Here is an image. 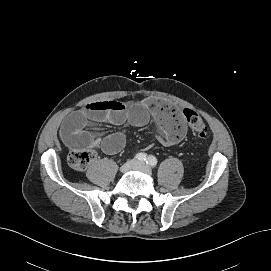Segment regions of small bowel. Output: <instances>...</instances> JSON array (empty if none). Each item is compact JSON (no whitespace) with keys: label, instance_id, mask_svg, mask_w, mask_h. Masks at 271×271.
<instances>
[{"label":"small bowel","instance_id":"small-bowel-1","mask_svg":"<svg viewBox=\"0 0 271 271\" xmlns=\"http://www.w3.org/2000/svg\"><path fill=\"white\" fill-rule=\"evenodd\" d=\"M150 115L164 134L162 143L165 146L175 145L184 138L187 131L184 116L177 109L157 99L148 100L130 109L119 101L89 103L63 122L60 133L70 148L94 147L107 154H116L124 147V134L115 132L100 138L88 129L89 123L121 125L128 121L132 125L143 126L149 121Z\"/></svg>","mask_w":271,"mask_h":271}]
</instances>
